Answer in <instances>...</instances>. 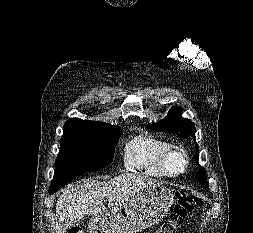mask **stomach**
Instances as JSON below:
<instances>
[{"label":"stomach","instance_id":"stomach-1","mask_svg":"<svg viewBox=\"0 0 253 233\" xmlns=\"http://www.w3.org/2000/svg\"><path fill=\"white\" fill-rule=\"evenodd\" d=\"M174 195L162 184L152 185L109 212L95 215L89 224L91 233H137L148 228L169 211Z\"/></svg>","mask_w":253,"mask_h":233}]
</instances>
